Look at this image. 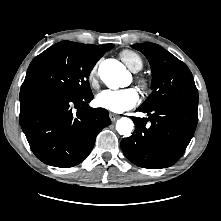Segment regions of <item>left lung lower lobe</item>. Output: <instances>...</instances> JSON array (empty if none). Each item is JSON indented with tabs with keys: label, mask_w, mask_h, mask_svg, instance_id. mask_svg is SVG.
<instances>
[{
	"label": "left lung lower lobe",
	"mask_w": 221,
	"mask_h": 221,
	"mask_svg": "<svg viewBox=\"0 0 221 221\" xmlns=\"http://www.w3.org/2000/svg\"><path fill=\"white\" fill-rule=\"evenodd\" d=\"M197 109L198 105L185 102L139 107L137 110L147 113L149 117H132L135 131L121 141L124 155L143 168L172 166L183 155L193 137L198 120Z\"/></svg>",
	"instance_id": "1"
}]
</instances>
